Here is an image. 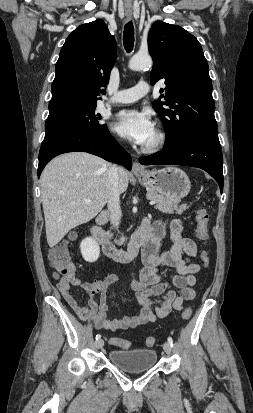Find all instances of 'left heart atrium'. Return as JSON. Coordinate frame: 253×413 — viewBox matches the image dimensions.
Returning <instances> with one entry per match:
<instances>
[{"mask_svg":"<svg viewBox=\"0 0 253 413\" xmlns=\"http://www.w3.org/2000/svg\"><path fill=\"white\" fill-rule=\"evenodd\" d=\"M111 127L119 135L140 145H145L155 132V126L149 113L139 110L118 112Z\"/></svg>","mask_w":253,"mask_h":413,"instance_id":"1","label":"left heart atrium"}]
</instances>
